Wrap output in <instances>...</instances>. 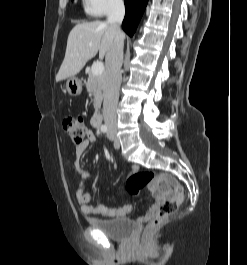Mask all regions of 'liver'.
<instances>
[{
  "instance_id": "1",
  "label": "liver",
  "mask_w": 247,
  "mask_h": 265,
  "mask_svg": "<svg viewBox=\"0 0 247 265\" xmlns=\"http://www.w3.org/2000/svg\"><path fill=\"white\" fill-rule=\"evenodd\" d=\"M114 39L115 29L108 22L93 21L75 25L69 33L65 57L56 75V81L78 74L98 52L99 57L103 59Z\"/></svg>"
}]
</instances>
